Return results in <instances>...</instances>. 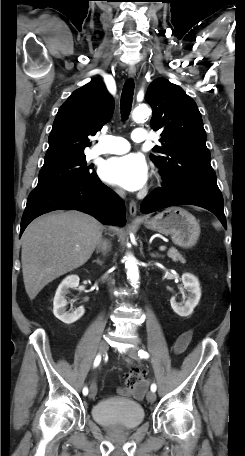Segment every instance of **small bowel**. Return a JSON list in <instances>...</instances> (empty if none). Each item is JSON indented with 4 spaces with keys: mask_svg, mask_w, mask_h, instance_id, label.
Listing matches in <instances>:
<instances>
[{
    "mask_svg": "<svg viewBox=\"0 0 245 456\" xmlns=\"http://www.w3.org/2000/svg\"><path fill=\"white\" fill-rule=\"evenodd\" d=\"M191 337H192V334L190 331H186V332H183L176 340L175 344H174V351L178 354L184 352L190 341H191ZM148 384L149 382L148 381H144L142 383H140L135 389L133 390H127V389H122V388H119L118 389V392L122 395H133L134 397L136 398H142L145 390L147 389L148 387Z\"/></svg>",
    "mask_w": 245,
    "mask_h": 456,
    "instance_id": "c3829d8e",
    "label": "small bowel"
}]
</instances>
